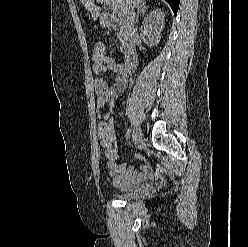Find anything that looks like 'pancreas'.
<instances>
[{
    "instance_id": "1",
    "label": "pancreas",
    "mask_w": 248,
    "mask_h": 247,
    "mask_svg": "<svg viewBox=\"0 0 248 247\" xmlns=\"http://www.w3.org/2000/svg\"><path fill=\"white\" fill-rule=\"evenodd\" d=\"M120 41H121V43H122V48H124V49H125V46H126V41H125L124 36H120Z\"/></svg>"
}]
</instances>
